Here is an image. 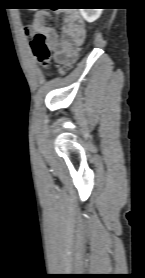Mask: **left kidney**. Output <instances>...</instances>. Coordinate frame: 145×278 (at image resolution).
Wrapping results in <instances>:
<instances>
[{"label": "left kidney", "instance_id": "1", "mask_svg": "<svg viewBox=\"0 0 145 278\" xmlns=\"http://www.w3.org/2000/svg\"><path fill=\"white\" fill-rule=\"evenodd\" d=\"M80 11H81L83 18L87 22L91 23L100 17L103 9H80Z\"/></svg>", "mask_w": 145, "mask_h": 278}]
</instances>
